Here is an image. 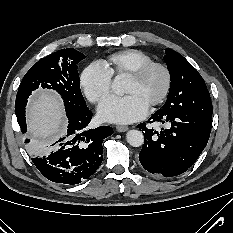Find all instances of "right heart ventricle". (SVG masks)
<instances>
[{"label":"right heart ventricle","instance_id":"e07e8e85","mask_svg":"<svg viewBox=\"0 0 233 233\" xmlns=\"http://www.w3.org/2000/svg\"><path fill=\"white\" fill-rule=\"evenodd\" d=\"M150 62H153V59L143 51L125 49L111 54L103 65L111 75L127 76L138 67Z\"/></svg>","mask_w":233,"mask_h":233}]
</instances>
